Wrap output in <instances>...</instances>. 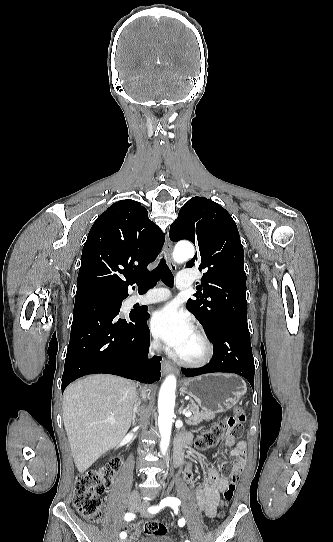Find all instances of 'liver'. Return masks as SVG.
Returning <instances> with one entry per match:
<instances>
[{
  "instance_id": "6515ba94",
  "label": "liver",
  "mask_w": 333,
  "mask_h": 542,
  "mask_svg": "<svg viewBox=\"0 0 333 542\" xmlns=\"http://www.w3.org/2000/svg\"><path fill=\"white\" fill-rule=\"evenodd\" d=\"M136 388L135 382L109 374H92L66 388L63 422L80 474L126 436Z\"/></svg>"
}]
</instances>
